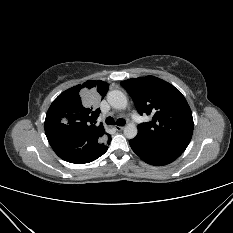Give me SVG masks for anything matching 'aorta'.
<instances>
[{
	"mask_svg": "<svg viewBox=\"0 0 233 233\" xmlns=\"http://www.w3.org/2000/svg\"><path fill=\"white\" fill-rule=\"evenodd\" d=\"M108 103L115 109L122 110L128 105L127 97L119 90L109 91L107 94ZM137 127L134 123H129L124 128V135L128 139H133L137 135Z\"/></svg>",
	"mask_w": 233,
	"mask_h": 233,
	"instance_id": "aorta-1",
	"label": "aorta"
}]
</instances>
